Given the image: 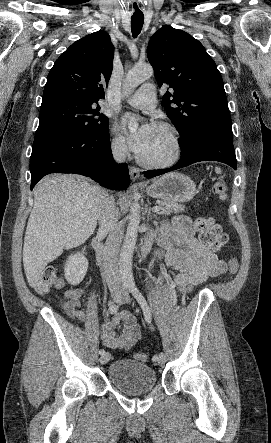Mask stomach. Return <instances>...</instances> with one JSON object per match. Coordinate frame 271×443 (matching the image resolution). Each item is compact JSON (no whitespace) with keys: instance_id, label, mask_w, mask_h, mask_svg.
Wrapping results in <instances>:
<instances>
[{"instance_id":"obj_1","label":"stomach","mask_w":271,"mask_h":443,"mask_svg":"<svg viewBox=\"0 0 271 443\" xmlns=\"http://www.w3.org/2000/svg\"><path fill=\"white\" fill-rule=\"evenodd\" d=\"M146 192L151 198H160L166 202H190L197 194L194 182L188 176L177 172L154 180Z\"/></svg>"}]
</instances>
